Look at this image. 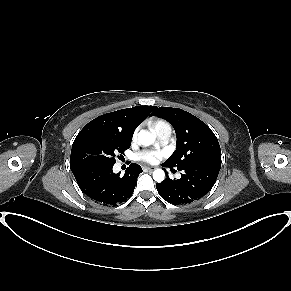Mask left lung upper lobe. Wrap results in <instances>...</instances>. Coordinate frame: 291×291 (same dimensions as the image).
I'll return each mask as SVG.
<instances>
[{"instance_id":"obj_1","label":"left lung upper lobe","mask_w":291,"mask_h":291,"mask_svg":"<svg viewBox=\"0 0 291 291\" xmlns=\"http://www.w3.org/2000/svg\"><path fill=\"white\" fill-rule=\"evenodd\" d=\"M152 114L167 120L177 135L176 150L165 164L177 169L195 163L221 165L219 142L203 121L182 109L171 107H155Z\"/></svg>"}]
</instances>
